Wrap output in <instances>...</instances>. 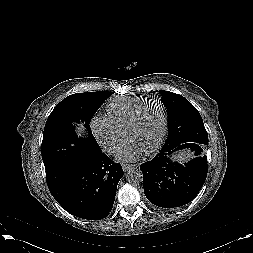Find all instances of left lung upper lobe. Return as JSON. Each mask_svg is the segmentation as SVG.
Wrapping results in <instances>:
<instances>
[{"instance_id":"left-lung-upper-lobe-1","label":"left lung upper lobe","mask_w":253,"mask_h":253,"mask_svg":"<svg viewBox=\"0 0 253 253\" xmlns=\"http://www.w3.org/2000/svg\"><path fill=\"white\" fill-rule=\"evenodd\" d=\"M160 94L169 119V134L163 147L184 142L208 144V134L198 110L179 94L164 90H160Z\"/></svg>"}]
</instances>
